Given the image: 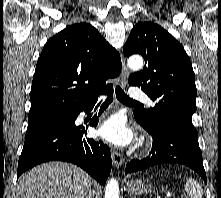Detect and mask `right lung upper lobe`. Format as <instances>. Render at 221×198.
<instances>
[{"label": "right lung upper lobe", "instance_id": "right-lung-upper-lobe-1", "mask_svg": "<svg viewBox=\"0 0 221 198\" xmlns=\"http://www.w3.org/2000/svg\"><path fill=\"white\" fill-rule=\"evenodd\" d=\"M118 52L88 23L73 24L50 38L36 65L28 119L76 114L112 89L121 72Z\"/></svg>", "mask_w": 221, "mask_h": 198}]
</instances>
